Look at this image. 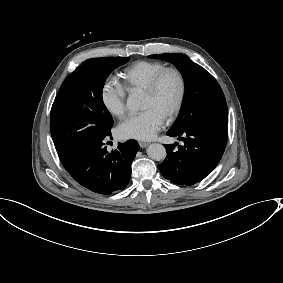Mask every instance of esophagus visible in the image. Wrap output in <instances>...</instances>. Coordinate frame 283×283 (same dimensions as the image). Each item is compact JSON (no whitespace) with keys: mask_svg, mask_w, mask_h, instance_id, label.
Instances as JSON below:
<instances>
[{"mask_svg":"<svg viewBox=\"0 0 283 283\" xmlns=\"http://www.w3.org/2000/svg\"><path fill=\"white\" fill-rule=\"evenodd\" d=\"M139 145H140L141 148H145L149 145V143L140 141Z\"/></svg>","mask_w":283,"mask_h":283,"instance_id":"obj_1","label":"esophagus"}]
</instances>
